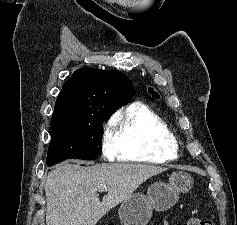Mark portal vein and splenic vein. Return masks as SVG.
Instances as JSON below:
<instances>
[{
  "mask_svg": "<svg viewBox=\"0 0 237 225\" xmlns=\"http://www.w3.org/2000/svg\"><path fill=\"white\" fill-rule=\"evenodd\" d=\"M104 189H106V186H104V185H103V186H100V187H98V191H99V192H102Z\"/></svg>",
  "mask_w": 237,
  "mask_h": 225,
  "instance_id": "18ae733b",
  "label": "portal vein and splenic vein"
}]
</instances>
